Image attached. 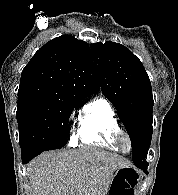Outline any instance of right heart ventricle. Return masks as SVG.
<instances>
[{
    "instance_id": "obj_1",
    "label": "right heart ventricle",
    "mask_w": 178,
    "mask_h": 195,
    "mask_svg": "<svg viewBox=\"0 0 178 195\" xmlns=\"http://www.w3.org/2000/svg\"><path fill=\"white\" fill-rule=\"evenodd\" d=\"M120 129L111 104L105 98L97 97L85 106L79 120L77 137L83 144L119 151L113 137Z\"/></svg>"
}]
</instances>
